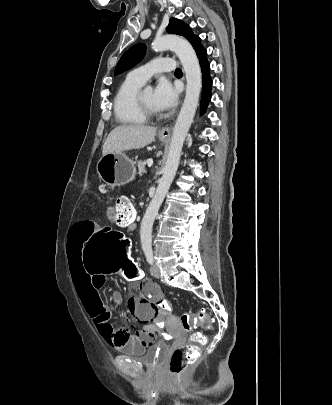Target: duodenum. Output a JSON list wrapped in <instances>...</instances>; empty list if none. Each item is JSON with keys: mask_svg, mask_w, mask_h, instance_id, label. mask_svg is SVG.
Returning <instances> with one entry per match:
<instances>
[{"mask_svg": "<svg viewBox=\"0 0 332 405\" xmlns=\"http://www.w3.org/2000/svg\"><path fill=\"white\" fill-rule=\"evenodd\" d=\"M127 228L131 231L136 230L137 228V223H136V219L135 218H131L128 222H127Z\"/></svg>", "mask_w": 332, "mask_h": 405, "instance_id": "1", "label": "duodenum"}]
</instances>
